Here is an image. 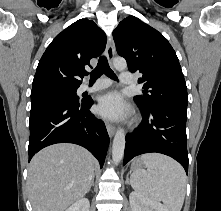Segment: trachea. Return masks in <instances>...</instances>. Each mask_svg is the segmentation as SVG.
I'll return each instance as SVG.
<instances>
[{"label":"trachea","mask_w":221,"mask_h":211,"mask_svg":"<svg viewBox=\"0 0 221 211\" xmlns=\"http://www.w3.org/2000/svg\"><path fill=\"white\" fill-rule=\"evenodd\" d=\"M102 74H105L113 80H118L116 74L111 70L105 56L99 58L96 68L90 73V82L96 81ZM85 75H88V73H85Z\"/></svg>","instance_id":"obj_1"}]
</instances>
